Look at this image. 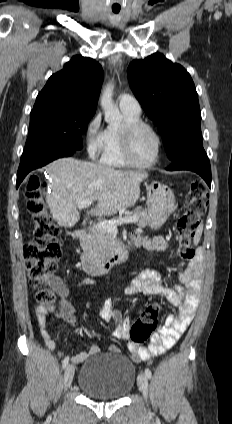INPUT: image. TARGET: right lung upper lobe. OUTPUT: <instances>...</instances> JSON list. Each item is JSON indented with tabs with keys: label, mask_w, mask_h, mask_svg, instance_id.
Listing matches in <instances>:
<instances>
[{
	"label": "right lung upper lobe",
	"mask_w": 232,
	"mask_h": 424,
	"mask_svg": "<svg viewBox=\"0 0 232 424\" xmlns=\"http://www.w3.org/2000/svg\"><path fill=\"white\" fill-rule=\"evenodd\" d=\"M103 77L102 67L95 60L74 56L48 79L33 109L72 106L95 112Z\"/></svg>",
	"instance_id": "right-lung-upper-lobe-1"
}]
</instances>
